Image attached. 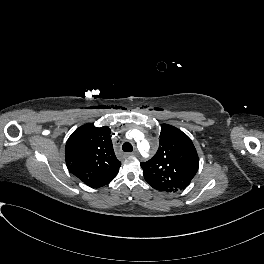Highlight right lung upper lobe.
Masks as SVG:
<instances>
[{"instance_id": "obj_1", "label": "right lung upper lobe", "mask_w": 264, "mask_h": 264, "mask_svg": "<svg viewBox=\"0 0 264 264\" xmlns=\"http://www.w3.org/2000/svg\"><path fill=\"white\" fill-rule=\"evenodd\" d=\"M110 132L107 126L97 128L89 123L76 129L67 140L66 165L90 187L109 184L119 172L121 162L115 156Z\"/></svg>"}]
</instances>
